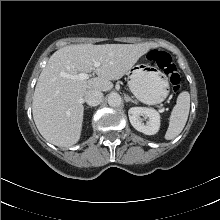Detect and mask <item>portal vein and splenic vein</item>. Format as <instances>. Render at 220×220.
I'll return each instance as SVG.
<instances>
[{
	"mask_svg": "<svg viewBox=\"0 0 220 220\" xmlns=\"http://www.w3.org/2000/svg\"><path fill=\"white\" fill-rule=\"evenodd\" d=\"M100 66V62H95L94 67L98 68ZM62 76L67 77V78H72V79H78V80H86L90 78V75L87 73H79L77 75H69L63 73Z\"/></svg>",
	"mask_w": 220,
	"mask_h": 220,
	"instance_id": "portal-vein-and-splenic-vein-1",
	"label": "portal vein and splenic vein"
}]
</instances>
